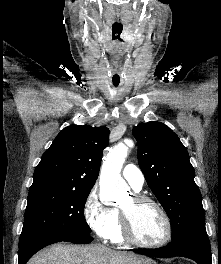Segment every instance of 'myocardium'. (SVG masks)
<instances>
[{
    "instance_id": "f54148a6",
    "label": "myocardium",
    "mask_w": 221,
    "mask_h": 264,
    "mask_svg": "<svg viewBox=\"0 0 221 264\" xmlns=\"http://www.w3.org/2000/svg\"><path fill=\"white\" fill-rule=\"evenodd\" d=\"M132 200L137 205L148 203L155 206L164 219L166 226V233L164 238L157 243H146L139 240L134 232L133 222L130 214L120 209L119 216H120L121 231L125 241L133 245H136L138 247L150 248V249L161 248L166 244H168L172 238L173 228H172L171 218L168 212L166 211V209L162 206V204H160L157 200L142 194H134L132 196Z\"/></svg>"
}]
</instances>
